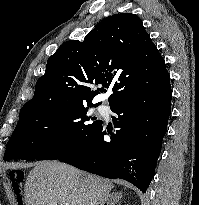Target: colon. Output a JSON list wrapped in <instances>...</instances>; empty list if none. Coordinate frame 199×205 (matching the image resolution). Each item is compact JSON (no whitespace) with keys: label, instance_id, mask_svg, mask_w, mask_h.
I'll return each instance as SVG.
<instances>
[{"label":"colon","instance_id":"obj_1","mask_svg":"<svg viewBox=\"0 0 199 205\" xmlns=\"http://www.w3.org/2000/svg\"><path fill=\"white\" fill-rule=\"evenodd\" d=\"M10 177H11L13 189L20 191L21 183H22L23 178H24L23 172H13V173H11Z\"/></svg>","mask_w":199,"mask_h":205}]
</instances>
